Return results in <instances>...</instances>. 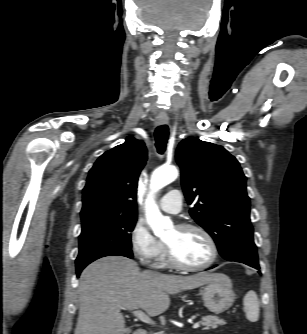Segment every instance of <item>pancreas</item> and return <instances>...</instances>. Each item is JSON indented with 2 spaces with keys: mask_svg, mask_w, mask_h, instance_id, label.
Returning a JSON list of instances; mask_svg holds the SVG:
<instances>
[{
  "mask_svg": "<svg viewBox=\"0 0 307 334\" xmlns=\"http://www.w3.org/2000/svg\"><path fill=\"white\" fill-rule=\"evenodd\" d=\"M201 324L204 326L205 330H209V329H215L219 325H225L226 321L217 316L208 315L202 318ZM154 334H162V333L159 332V333H154Z\"/></svg>",
  "mask_w": 307,
  "mask_h": 334,
  "instance_id": "obj_1",
  "label": "pancreas"
}]
</instances>
